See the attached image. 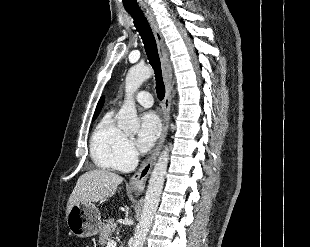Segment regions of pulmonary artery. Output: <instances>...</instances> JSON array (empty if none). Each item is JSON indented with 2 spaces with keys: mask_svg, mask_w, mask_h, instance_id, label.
I'll use <instances>...</instances> for the list:
<instances>
[{
  "mask_svg": "<svg viewBox=\"0 0 310 247\" xmlns=\"http://www.w3.org/2000/svg\"><path fill=\"white\" fill-rule=\"evenodd\" d=\"M136 101L144 106V107H151L153 105V98L152 95L147 91H141L139 92L136 97ZM129 169V168H127Z\"/></svg>",
  "mask_w": 310,
  "mask_h": 247,
  "instance_id": "obj_1",
  "label": "pulmonary artery"
}]
</instances>
